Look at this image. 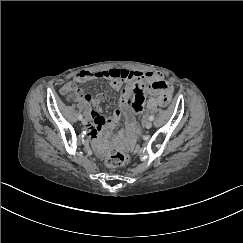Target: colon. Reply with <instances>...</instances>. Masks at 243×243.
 <instances>
[{
	"instance_id": "colon-1",
	"label": "colon",
	"mask_w": 243,
	"mask_h": 243,
	"mask_svg": "<svg viewBox=\"0 0 243 243\" xmlns=\"http://www.w3.org/2000/svg\"><path fill=\"white\" fill-rule=\"evenodd\" d=\"M68 97L69 99H74L77 97L80 92L76 87H71L68 92ZM170 100H167V104L169 103ZM121 103L124 111L126 112L128 119L131 123L132 117L131 113L133 112L132 110V94L130 92H125L122 95L121 98ZM133 134V128L131 125L128 126L125 132L120 134L119 136V142L121 145H125L132 137ZM106 164L109 167H121L124 166L128 162V157L127 155L120 150L119 148L112 147L107 151L106 159H105Z\"/></svg>"
}]
</instances>
